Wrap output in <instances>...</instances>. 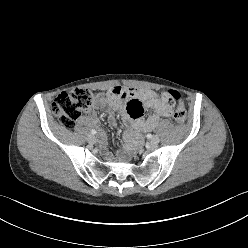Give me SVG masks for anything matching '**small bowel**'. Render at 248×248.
I'll list each match as a JSON object with an SVG mask.
<instances>
[{
    "mask_svg": "<svg viewBox=\"0 0 248 248\" xmlns=\"http://www.w3.org/2000/svg\"><path fill=\"white\" fill-rule=\"evenodd\" d=\"M95 108L108 109L110 111L109 121L112 125L116 124L112 112L118 110L123 119L139 131L153 129L160 119L169 117L172 113V105L163 93L124 87H113L107 94L98 95ZM144 109H152L154 113L143 118ZM101 143L105 144V141L102 140Z\"/></svg>",
    "mask_w": 248,
    "mask_h": 248,
    "instance_id": "small-bowel-1",
    "label": "small bowel"
}]
</instances>
